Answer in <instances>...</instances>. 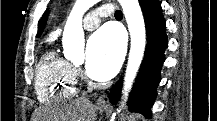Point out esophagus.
<instances>
[{
	"label": "esophagus",
	"instance_id": "obj_1",
	"mask_svg": "<svg viewBox=\"0 0 217 121\" xmlns=\"http://www.w3.org/2000/svg\"><path fill=\"white\" fill-rule=\"evenodd\" d=\"M97 105L98 106H108L109 105V98L106 93L102 94L98 99H97Z\"/></svg>",
	"mask_w": 217,
	"mask_h": 121
}]
</instances>
